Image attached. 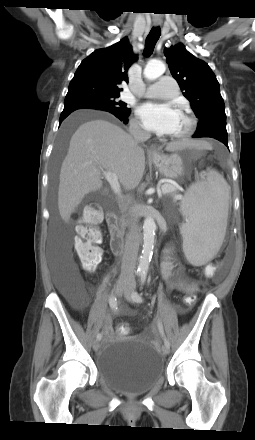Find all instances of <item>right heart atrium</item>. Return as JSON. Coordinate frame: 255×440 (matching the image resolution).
<instances>
[{"label":"right heart atrium","mask_w":255,"mask_h":440,"mask_svg":"<svg viewBox=\"0 0 255 440\" xmlns=\"http://www.w3.org/2000/svg\"><path fill=\"white\" fill-rule=\"evenodd\" d=\"M131 128L135 132H140L142 130V126L138 120H133L131 123Z\"/></svg>","instance_id":"right-heart-atrium-1"}]
</instances>
